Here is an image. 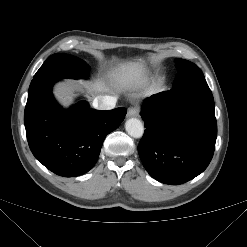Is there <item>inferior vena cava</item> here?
<instances>
[{
    "label": "inferior vena cava",
    "instance_id": "obj_1",
    "mask_svg": "<svg viewBox=\"0 0 247 247\" xmlns=\"http://www.w3.org/2000/svg\"><path fill=\"white\" fill-rule=\"evenodd\" d=\"M116 102V97L100 95L93 100L92 105L95 109L111 110L115 108Z\"/></svg>",
    "mask_w": 247,
    "mask_h": 247
}]
</instances>
